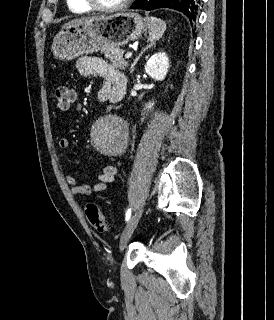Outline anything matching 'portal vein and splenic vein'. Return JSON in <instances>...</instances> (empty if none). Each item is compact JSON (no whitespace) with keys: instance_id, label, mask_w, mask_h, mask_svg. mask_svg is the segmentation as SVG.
<instances>
[{"instance_id":"portal-vein-and-splenic-vein-1","label":"portal vein and splenic vein","mask_w":274,"mask_h":320,"mask_svg":"<svg viewBox=\"0 0 274 320\" xmlns=\"http://www.w3.org/2000/svg\"><path fill=\"white\" fill-rule=\"evenodd\" d=\"M132 56V52H127V54H125V58H131Z\"/></svg>"}]
</instances>
